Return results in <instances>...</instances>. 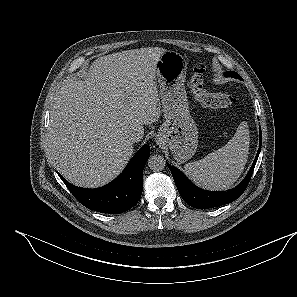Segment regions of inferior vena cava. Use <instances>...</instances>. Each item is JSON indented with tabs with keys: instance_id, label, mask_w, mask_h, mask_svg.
<instances>
[{
	"instance_id": "inferior-vena-cava-1",
	"label": "inferior vena cava",
	"mask_w": 297,
	"mask_h": 297,
	"mask_svg": "<svg viewBox=\"0 0 297 297\" xmlns=\"http://www.w3.org/2000/svg\"><path fill=\"white\" fill-rule=\"evenodd\" d=\"M142 137L143 136L138 131H132L128 134L127 140L133 144L139 142Z\"/></svg>"
}]
</instances>
